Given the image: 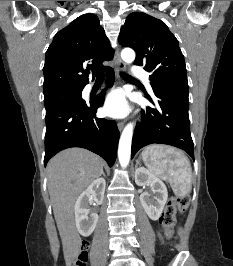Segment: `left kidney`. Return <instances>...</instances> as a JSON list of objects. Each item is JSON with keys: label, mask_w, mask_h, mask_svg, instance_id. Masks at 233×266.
Wrapping results in <instances>:
<instances>
[{"label": "left kidney", "mask_w": 233, "mask_h": 266, "mask_svg": "<svg viewBox=\"0 0 233 266\" xmlns=\"http://www.w3.org/2000/svg\"><path fill=\"white\" fill-rule=\"evenodd\" d=\"M135 183L138 186L150 185L152 190L156 193L155 201L150 199V195L147 192L140 195V201L151 220L159 219L168 198L166 185L161 179L153 175L144 167L136 169Z\"/></svg>", "instance_id": "left-kidney-1"}]
</instances>
